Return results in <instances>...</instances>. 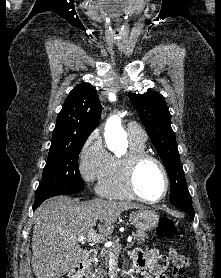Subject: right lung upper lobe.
<instances>
[{"label": "right lung upper lobe", "instance_id": "cb5924a9", "mask_svg": "<svg viewBox=\"0 0 221 278\" xmlns=\"http://www.w3.org/2000/svg\"><path fill=\"white\" fill-rule=\"evenodd\" d=\"M100 116L101 104L95 88L88 83L77 85L58 115L51 147L87 140L98 125Z\"/></svg>", "mask_w": 221, "mask_h": 278}]
</instances>
